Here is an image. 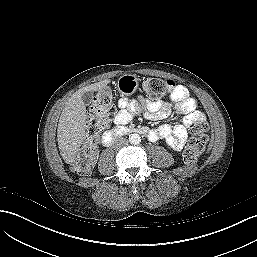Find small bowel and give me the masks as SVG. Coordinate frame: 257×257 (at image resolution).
Masks as SVG:
<instances>
[{"instance_id":"small-bowel-1","label":"small bowel","mask_w":257,"mask_h":257,"mask_svg":"<svg viewBox=\"0 0 257 257\" xmlns=\"http://www.w3.org/2000/svg\"><path fill=\"white\" fill-rule=\"evenodd\" d=\"M170 99L176 104V111L183 115L182 123L175 126L162 125L158 129L152 130L149 138L151 140L165 138L171 147L179 150L186 143L187 127L203 120L204 115L197 109L196 100L189 95L185 86L176 85L170 93ZM118 107L119 111L114 118V123L117 125L128 124L138 113H144L152 119H162L167 117L172 109V105L168 102H152L143 96L133 100L120 98Z\"/></svg>"}]
</instances>
